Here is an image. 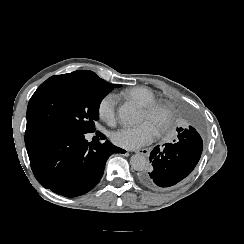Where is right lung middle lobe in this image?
<instances>
[{
  "mask_svg": "<svg viewBox=\"0 0 244 244\" xmlns=\"http://www.w3.org/2000/svg\"><path fill=\"white\" fill-rule=\"evenodd\" d=\"M116 86L88 70L52 76L31 97L27 126L43 125L77 134L92 132L100 102Z\"/></svg>",
  "mask_w": 244,
  "mask_h": 244,
  "instance_id": "1",
  "label": "right lung middle lobe"
}]
</instances>
